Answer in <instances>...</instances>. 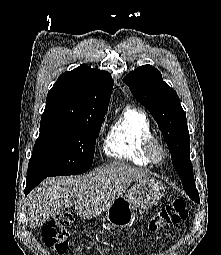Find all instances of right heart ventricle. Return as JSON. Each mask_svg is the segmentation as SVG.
Instances as JSON below:
<instances>
[{
  "instance_id": "obj_1",
  "label": "right heart ventricle",
  "mask_w": 221,
  "mask_h": 255,
  "mask_svg": "<svg viewBox=\"0 0 221 255\" xmlns=\"http://www.w3.org/2000/svg\"><path fill=\"white\" fill-rule=\"evenodd\" d=\"M152 137L153 128L147 114L129 106L111 122L104 138L103 152L112 159L148 166L152 162L145 153V144Z\"/></svg>"
}]
</instances>
